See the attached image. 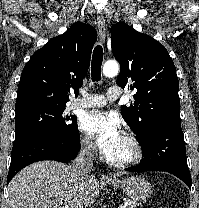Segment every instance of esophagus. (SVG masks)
Wrapping results in <instances>:
<instances>
[{
	"mask_svg": "<svg viewBox=\"0 0 199 208\" xmlns=\"http://www.w3.org/2000/svg\"><path fill=\"white\" fill-rule=\"evenodd\" d=\"M97 26L99 30L100 41L103 47L106 43V20L101 12L97 13ZM106 178H113L111 174H106Z\"/></svg>",
	"mask_w": 199,
	"mask_h": 208,
	"instance_id": "1",
	"label": "esophagus"
}]
</instances>
